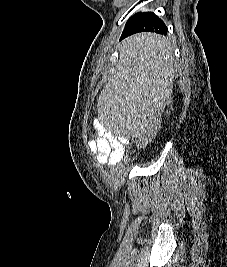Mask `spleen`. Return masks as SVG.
<instances>
[{
	"label": "spleen",
	"mask_w": 227,
	"mask_h": 267,
	"mask_svg": "<svg viewBox=\"0 0 227 267\" xmlns=\"http://www.w3.org/2000/svg\"><path fill=\"white\" fill-rule=\"evenodd\" d=\"M121 58L124 67L117 76H105L99 93V115H160L171 96L174 58L170 44L157 35L130 38ZM119 68V63H112ZM146 106H131V105ZM103 129H114L118 137L136 140L144 129H150L154 116H100Z\"/></svg>",
	"instance_id": "3e777b00"
}]
</instances>
